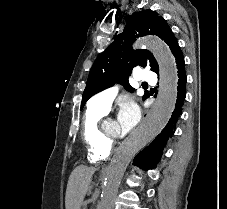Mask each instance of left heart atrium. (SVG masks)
I'll use <instances>...</instances> for the list:
<instances>
[{
    "mask_svg": "<svg viewBox=\"0 0 227 209\" xmlns=\"http://www.w3.org/2000/svg\"><path fill=\"white\" fill-rule=\"evenodd\" d=\"M140 108L132 99H124L120 103L117 122L125 132H130L140 120Z\"/></svg>",
    "mask_w": 227,
    "mask_h": 209,
    "instance_id": "39dd6f15",
    "label": "left heart atrium"
}]
</instances>
